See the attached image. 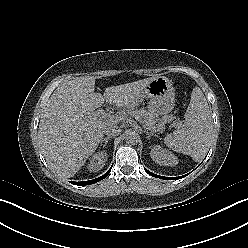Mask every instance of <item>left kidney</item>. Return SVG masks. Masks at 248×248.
Returning a JSON list of instances; mask_svg holds the SVG:
<instances>
[{
  "label": "left kidney",
  "mask_w": 248,
  "mask_h": 248,
  "mask_svg": "<svg viewBox=\"0 0 248 248\" xmlns=\"http://www.w3.org/2000/svg\"><path fill=\"white\" fill-rule=\"evenodd\" d=\"M150 156L153 161L163 166H175L178 164L177 157L168 150L163 149L159 145L151 147Z\"/></svg>",
  "instance_id": "obj_1"
}]
</instances>
